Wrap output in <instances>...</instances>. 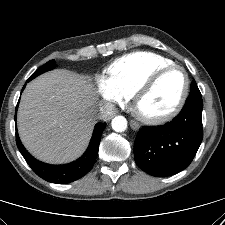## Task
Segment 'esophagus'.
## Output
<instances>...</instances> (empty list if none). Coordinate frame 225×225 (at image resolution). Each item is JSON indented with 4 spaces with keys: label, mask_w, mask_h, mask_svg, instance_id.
<instances>
[{
    "label": "esophagus",
    "mask_w": 225,
    "mask_h": 225,
    "mask_svg": "<svg viewBox=\"0 0 225 225\" xmlns=\"http://www.w3.org/2000/svg\"><path fill=\"white\" fill-rule=\"evenodd\" d=\"M130 126L133 130H139L140 128L139 124L133 120L130 121Z\"/></svg>",
    "instance_id": "obj_1"
}]
</instances>
